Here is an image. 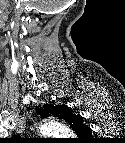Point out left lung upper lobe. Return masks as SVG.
<instances>
[{
    "mask_svg": "<svg viewBox=\"0 0 125 143\" xmlns=\"http://www.w3.org/2000/svg\"><path fill=\"white\" fill-rule=\"evenodd\" d=\"M66 107L67 106H65V105L54 106V105L50 104V105H44V108H36V109L42 118L54 116V117H57L59 119H64ZM71 128L73 129V131H75V133L78 136H80L82 134H87V133H89V131H91V129L89 127H87L83 123V121L72 125Z\"/></svg>",
    "mask_w": 125,
    "mask_h": 143,
    "instance_id": "obj_1",
    "label": "left lung upper lobe"
}]
</instances>
